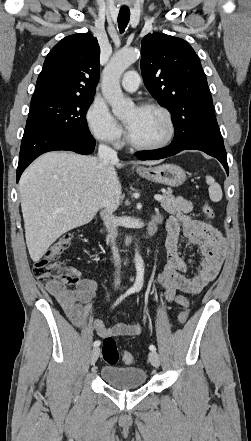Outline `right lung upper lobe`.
Returning a JSON list of instances; mask_svg holds the SVG:
<instances>
[{
  "label": "right lung upper lobe",
  "mask_w": 251,
  "mask_h": 441,
  "mask_svg": "<svg viewBox=\"0 0 251 441\" xmlns=\"http://www.w3.org/2000/svg\"><path fill=\"white\" fill-rule=\"evenodd\" d=\"M99 55L97 38L89 33L63 38L48 53L31 101L94 96L100 73Z\"/></svg>",
  "instance_id": "obj_1"
}]
</instances>
